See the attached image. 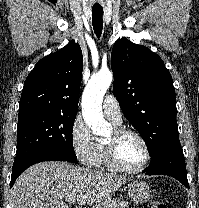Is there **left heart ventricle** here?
Masks as SVG:
<instances>
[{"label":"left heart ventricle","instance_id":"1","mask_svg":"<svg viewBox=\"0 0 199 208\" xmlns=\"http://www.w3.org/2000/svg\"><path fill=\"white\" fill-rule=\"evenodd\" d=\"M113 132L107 137L106 141L111 140ZM117 156L120 162L128 167L135 168L145 159V150L142 143L133 135L123 136L117 142Z\"/></svg>","mask_w":199,"mask_h":208}]
</instances>
